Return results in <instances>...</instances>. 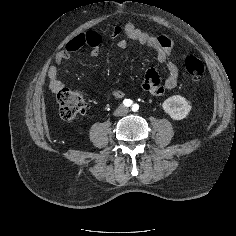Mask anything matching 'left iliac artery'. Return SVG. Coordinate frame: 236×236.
<instances>
[{
    "label": "left iliac artery",
    "instance_id": "1",
    "mask_svg": "<svg viewBox=\"0 0 236 236\" xmlns=\"http://www.w3.org/2000/svg\"><path fill=\"white\" fill-rule=\"evenodd\" d=\"M139 109V106L137 105V104H134L133 106H132V110L133 111H137Z\"/></svg>",
    "mask_w": 236,
    "mask_h": 236
}]
</instances>
